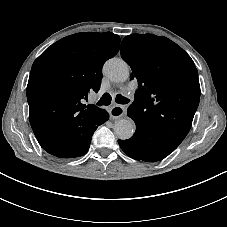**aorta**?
I'll return each instance as SVG.
<instances>
[{"label":"aorta","instance_id":"1","mask_svg":"<svg viewBox=\"0 0 227 227\" xmlns=\"http://www.w3.org/2000/svg\"><path fill=\"white\" fill-rule=\"evenodd\" d=\"M104 74L113 82H125L129 78V66L120 58H111L104 64ZM135 131V123L131 119H120L115 122L114 133L121 140L131 138Z\"/></svg>","mask_w":227,"mask_h":227}]
</instances>
